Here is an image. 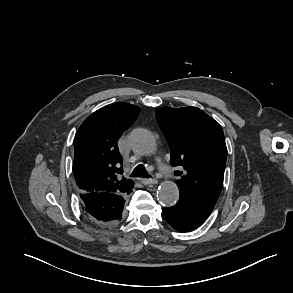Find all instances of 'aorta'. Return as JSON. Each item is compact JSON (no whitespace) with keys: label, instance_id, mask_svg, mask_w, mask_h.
Wrapping results in <instances>:
<instances>
[{"label":"aorta","instance_id":"762f6f07","mask_svg":"<svg viewBox=\"0 0 293 293\" xmlns=\"http://www.w3.org/2000/svg\"><path fill=\"white\" fill-rule=\"evenodd\" d=\"M132 149L141 155H151L156 150V139L146 129L134 130L129 138ZM158 200L165 206H173L179 199V190L172 181H164L157 191Z\"/></svg>","mask_w":293,"mask_h":293}]
</instances>
